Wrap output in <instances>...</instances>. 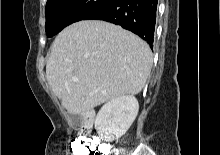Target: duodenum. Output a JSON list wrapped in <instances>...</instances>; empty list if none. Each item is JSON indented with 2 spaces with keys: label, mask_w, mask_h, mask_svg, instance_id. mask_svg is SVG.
<instances>
[{
  "label": "duodenum",
  "mask_w": 220,
  "mask_h": 155,
  "mask_svg": "<svg viewBox=\"0 0 220 155\" xmlns=\"http://www.w3.org/2000/svg\"><path fill=\"white\" fill-rule=\"evenodd\" d=\"M94 113L92 111H87L82 115V129L84 132H88L93 125Z\"/></svg>",
  "instance_id": "duodenum-1"
}]
</instances>
